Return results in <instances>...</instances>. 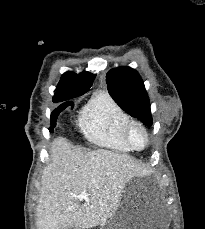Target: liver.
Returning a JSON list of instances; mask_svg holds the SVG:
<instances>
[{
	"instance_id": "1",
	"label": "liver",
	"mask_w": 205,
	"mask_h": 229,
	"mask_svg": "<svg viewBox=\"0 0 205 229\" xmlns=\"http://www.w3.org/2000/svg\"><path fill=\"white\" fill-rule=\"evenodd\" d=\"M139 164L127 154L73 146L65 138L53 140L50 163L43 170L37 205L38 229H88L115 212L128 181ZM87 191L88 198H77Z\"/></svg>"
}]
</instances>
